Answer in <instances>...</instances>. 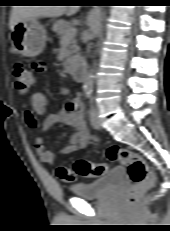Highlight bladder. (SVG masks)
<instances>
[{
	"mask_svg": "<svg viewBox=\"0 0 170 231\" xmlns=\"http://www.w3.org/2000/svg\"><path fill=\"white\" fill-rule=\"evenodd\" d=\"M125 180V169L122 167H116L92 182L80 183L72 186L71 192L75 196L84 199L101 198L125 182Z\"/></svg>",
	"mask_w": 170,
	"mask_h": 231,
	"instance_id": "bladder-1",
	"label": "bladder"
}]
</instances>
